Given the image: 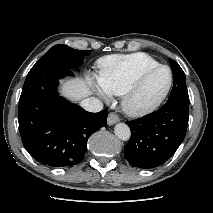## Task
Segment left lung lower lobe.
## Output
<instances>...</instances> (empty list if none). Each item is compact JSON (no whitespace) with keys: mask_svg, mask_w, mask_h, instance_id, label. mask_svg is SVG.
<instances>
[{"mask_svg":"<svg viewBox=\"0 0 213 213\" xmlns=\"http://www.w3.org/2000/svg\"><path fill=\"white\" fill-rule=\"evenodd\" d=\"M188 119L189 101L173 98L156 112L127 121L132 136L124 155L131 166L149 169L165 163L184 140Z\"/></svg>","mask_w":213,"mask_h":213,"instance_id":"obj_1","label":"left lung lower lobe"}]
</instances>
